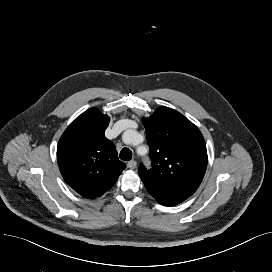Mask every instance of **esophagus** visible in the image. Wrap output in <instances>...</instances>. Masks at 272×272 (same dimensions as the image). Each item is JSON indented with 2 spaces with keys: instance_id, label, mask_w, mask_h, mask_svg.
Instances as JSON below:
<instances>
[{
  "instance_id": "obj_1",
  "label": "esophagus",
  "mask_w": 272,
  "mask_h": 272,
  "mask_svg": "<svg viewBox=\"0 0 272 272\" xmlns=\"http://www.w3.org/2000/svg\"><path fill=\"white\" fill-rule=\"evenodd\" d=\"M136 166H137V163H136L135 160H131V161H129V162L127 163V167H128L129 169H135Z\"/></svg>"
}]
</instances>
